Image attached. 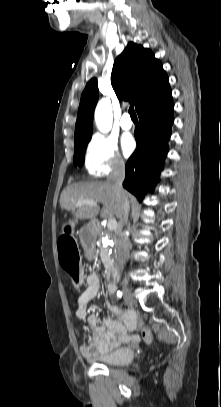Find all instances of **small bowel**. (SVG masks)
I'll use <instances>...</instances> for the list:
<instances>
[{
    "label": "small bowel",
    "mask_w": 221,
    "mask_h": 407,
    "mask_svg": "<svg viewBox=\"0 0 221 407\" xmlns=\"http://www.w3.org/2000/svg\"><path fill=\"white\" fill-rule=\"evenodd\" d=\"M86 290L79 297L76 305V316L79 319H86L87 326L92 332V337L88 344L80 347L81 353L86 357L105 354L123 343H133L138 341L137 335H131L140 322L137 312L125 310L122 307L115 306L106 301L108 311L122 320L104 319V326L98 324V315H88V304L101 292V280L98 274L91 273L86 278ZM106 293L112 295L117 287L109 282L106 286Z\"/></svg>",
    "instance_id": "c3829d8e"
}]
</instances>
